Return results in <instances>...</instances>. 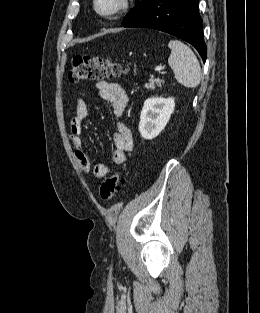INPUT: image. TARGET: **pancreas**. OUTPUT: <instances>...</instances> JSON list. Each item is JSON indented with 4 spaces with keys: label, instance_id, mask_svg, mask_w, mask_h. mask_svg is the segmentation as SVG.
<instances>
[{
    "label": "pancreas",
    "instance_id": "1",
    "mask_svg": "<svg viewBox=\"0 0 260 313\" xmlns=\"http://www.w3.org/2000/svg\"><path fill=\"white\" fill-rule=\"evenodd\" d=\"M162 83H164V80L151 78V79L149 80V82L145 84V88H146V89H154V88H155V84H156L158 87H161V84H162Z\"/></svg>",
    "mask_w": 260,
    "mask_h": 313
}]
</instances>
